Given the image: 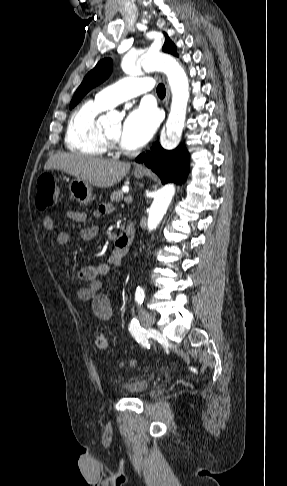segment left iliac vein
Here are the masks:
<instances>
[{
  "label": "left iliac vein",
  "instance_id": "1",
  "mask_svg": "<svg viewBox=\"0 0 287 486\" xmlns=\"http://www.w3.org/2000/svg\"><path fill=\"white\" fill-rule=\"evenodd\" d=\"M139 315H140L141 323L145 328L150 329L155 323L154 316H152L149 312H147V310H145L143 307L140 309ZM155 334L158 337H162V335L157 331H155Z\"/></svg>",
  "mask_w": 287,
  "mask_h": 486
}]
</instances>
